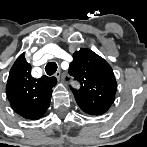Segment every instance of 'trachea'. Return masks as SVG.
Returning <instances> with one entry per match:
<instances>
[{"mask_svg":"<svg viewBox=\"0 0 147 147\" xmlns=\"http://www.w3.org/2000/svg\"><path fill=\"white\" fill-rule=\"evenodd\" d=\"M45 71L47 75L51 76L57 71V64L55 62H49L47 63L45 67Z\"/></svg>","mask_w":147,"mask_h":147,"instance_id":"obj_1","label":"trachea"}]
</instances>
